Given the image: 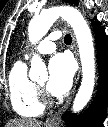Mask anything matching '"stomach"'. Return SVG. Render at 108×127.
Returning a JSON list of instances; mask_svg holds the SVG:
<instances>
[{
	"instance_id": "stomach-1",
	"label": "stomach",
	"mask_w": 108,
	"mask_h": 127,
	"mask_svg": "<svg viewBox=\"0 0 108 127\" xmlns=\"http://www.w3.org/2000/svg\"><path fill=\"white\" fill-rule=\"evenodd\" d=\"M45 127H59L58 125H45Z\"/></svg>"
}]
</instances>
